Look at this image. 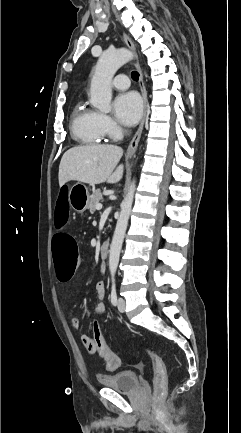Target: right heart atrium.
Instances as JSON below:
<instances>
[{
    "mask_svg": "<svg viewBox=\"0 0 241 433\" xmlns=\"http://www.w3.org/2000/svg\"><path fill=\"white\" fill-rule=\"evenodd\" d=\"M99 121L102 129L104 132L111 136L116 137L120 134L121 129L120 127L115 123V121L106 114H100Z\"/></svg>",
    "mask_w": 241,
    "mask_h": 433,
    "instance_id": "right-heart-atrium-1",
    "label": "right heart atrium"
}]
</instances>
